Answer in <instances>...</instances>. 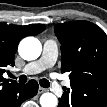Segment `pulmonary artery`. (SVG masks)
I'll list each match as a JSON object with an SVG mask.
<instances>
[{"label": "pulmonary artery", "mask_w": 107, "mask_h": 107, "mask_svg": "<svg viewBox=\"0 0 107 107\" xmlns=\"http://www.w3.org/2000/svg\"><path fill=\"white\" fill-rule=\"evenodd\" d=\"M58 56V46L54 40H47L43 45V51L41 57L28 63L22 68L23 73L25 74H36L40 73L43 70L52 67Z\"/></svg>", "instance_id": "e3ab8cb5"}]
</instances>
